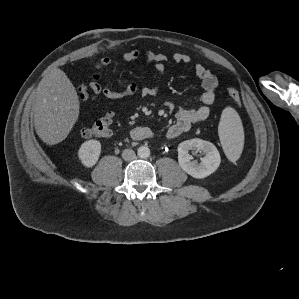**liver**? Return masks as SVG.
<instances>
[{
  "label": "liver",
  "mask_w": 299,
  "mask_h": 299,
  "mask_svg": "<svg viewBox=\"0 0 299 299\" xmlns=\"http://www.w3.org/2000/svg\"><path fill=\"white\" fill-rule=\"evenodd\" d=\"M35 97L33 112L37 135L48 145L62 142L79 116L75 87L62 70L53 68L40 81Z\"/></svg>",
  "instance_id": "6515ba94"
}]
</instances>
